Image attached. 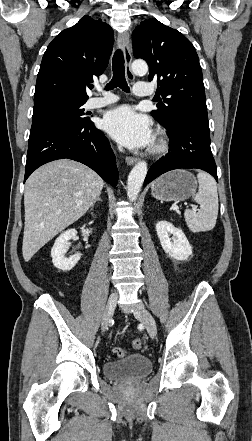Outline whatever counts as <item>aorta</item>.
Listing matches in <instances>:
<instances>
[{"mask_svg": "<svg viewBox=\"0 0 252 441\" xmlns=\"http://www.w3.org/2000/svg\"><path fill=\"white\" fill-rule=\"evenodd\" d=\"M131 68L137 75H145L148 71V65L143 60L133 61ZM147 171V163L145 161H139L129 173L127 180V197L129 201L134 202L137 200Z\"/></svg>", "mask_w": 252, "mask_h": 441, "instance_id": "aorta-1", "label": "aorta"}]
</instances>
